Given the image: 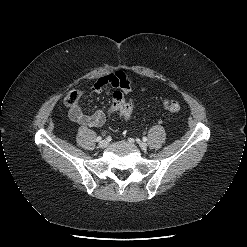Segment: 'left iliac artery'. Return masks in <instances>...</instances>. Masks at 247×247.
Returning <instances> with one entry per match:
<instances>
[{
	"mask_svg": "<svg viewBox=\"0 0 247 247\" xmlns=\"http://www.w3.org/2000/svg\"><path fill=\"white\" fill-rule=\"evenodd\" d=\"M143 141H147V137H143Z\"/></svg>",
	"mask_w": 247,
	"mask_h": 247,
	"instance_id": "44dca946",
	"label": "left iliac artery"
}]
</instances>
